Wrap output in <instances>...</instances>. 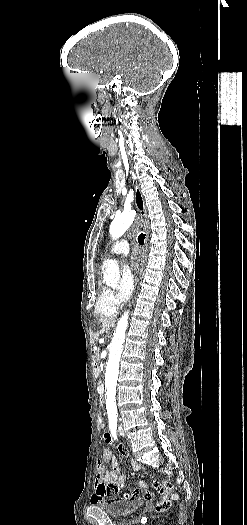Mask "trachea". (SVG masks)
<instances>
[{
  "mask_svg": "<svg viewBox=\"0 0 247 525\" xmlns=\"http://www.w3.org/2000/svg\"><path fill=\"white\" fill-rule=\"evenodd\" d=\"M144 241H145V234L144 233H140L139 236H138V243L140 245H144Z\"/></svg>",
  "mask_w": 247,
  "mask_h": 525,
  "instance_id": "obj_1",
  "label": "trachea"
}]
</instances>
